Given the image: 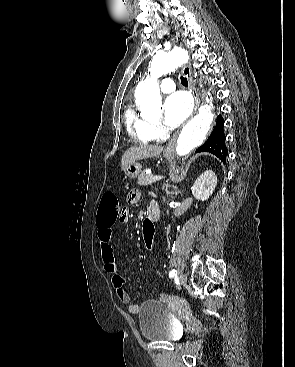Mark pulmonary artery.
Returning a JSON list of instances; mask_svg holds the SVG:
<instances>
[{
  "label": "pulmonary artery",
  "instance_id": "1",
  "mask_svg": "<svg viewBox=\"0 0 295 367\" xmlns=\"http://www.w3.org/2000/svg\"><path fill=\"white\" fill-rule=\"evenodd\" d=\"M160 89L163 93H170L175 90V83L172 79H163L160 84Z\"/></svg>",
  "mask_w": 295,
  "mask_h": 367
}]
</instances>
